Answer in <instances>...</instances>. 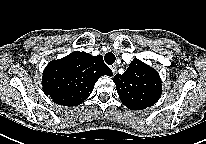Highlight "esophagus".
I'll list each match as a JSON object with an SVG mask.
<instances>
[{
    "label": "esophagus",
    "instance_id": "1",
    "mask_svg": "<svg viewBox=\"0 0 206 144\" xmlns=\"http://www.w3.org/2000/svg\"><path fill=\"white\" fill-rule=\"evenodd\" d=\"M112 73L115 74L116 70H117V66L116 65H111L110 66Z\"/></svg>",
    "mask_w": 206,
    "mask_h": 144
}]
</instances>
